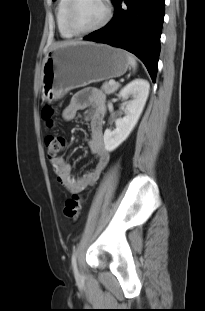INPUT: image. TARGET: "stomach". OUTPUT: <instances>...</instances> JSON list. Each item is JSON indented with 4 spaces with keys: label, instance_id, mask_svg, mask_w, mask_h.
<instances>
[{
    "label": "stomach",
    "instance_id": "obj_1",
    "mask_svg": "<svg viewBox=\"0 0 205 311\" xmlns=\"http://www.w3.org/2000/svg\"><path fill=\"white\" fill-rule=\"evenodd\" d=\"M129 67L127 53L105 44L79 42L54 47L42 66V99L54 101L70 90L120 77Z\"/></svg>",
    "mask_w": 205,
    "mask_h": 311
}]
</instances>
